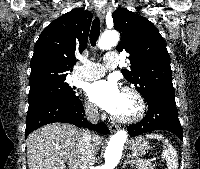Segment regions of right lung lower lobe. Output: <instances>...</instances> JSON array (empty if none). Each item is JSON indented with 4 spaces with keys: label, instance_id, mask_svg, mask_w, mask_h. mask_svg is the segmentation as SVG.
Here are the masks:
<instances>
[{
    "label": "right lung lower lobe",
    "instance_id": "obj_1",
    "mask_svg": "<svg viewBox=\"0 0 200 169\" xmlns=\"http://www.w3.org/2000/svg\"><path fill=\"white\" fill-rule=\"evenodd\" d=\"M85 116L83 105L76 96L71 101H58L55 99L29 104L25 137L39 127L54 123L65 122L78 127H88L102 134L108 133V127L104 123L90 124Z\"/></svg>",
    "mask_w": 200,
    "mask_h": 169
}]
</instances>
